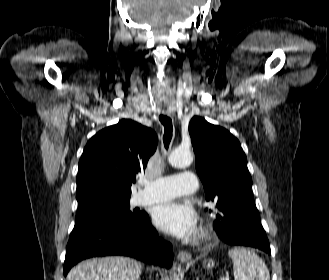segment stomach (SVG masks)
Masks as SVG:
<instances>
[{
  "mask_svg": "<svg viewBox=\"0 0 329 280\" xmlns=\"http://www.w3.org/2000/svg\"><path fill=\"white\" fill-rule=\"evenodd\" d=\"M203 265L207 270H210L214 267L215 263H214L213 260L207 259V260L204 261Z\"/></svg>",
  "mask_w": 329,
  "mask_h": 280,
  "instance_id": "0dacf381",
  "label": "stomach"
}]
</instances>
